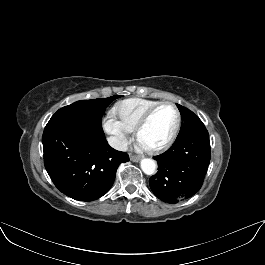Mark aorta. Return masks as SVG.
<instances>
[{"label": "aorta", "instance_id": "762f6f07", "mask_svg": "<svg viewBox=\"0 0 265 265\" xmlns=\"http://www.w3.org/2000/svg\"><path fill=\"white\" fill-rule=\"evenodd\" d=\"M141 169L147 175H153L156 171V162L150 158H144L141 160Z\"/></svg>", "mask_w": 265, "mask_h": 265}]
</instances>
